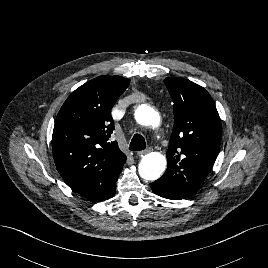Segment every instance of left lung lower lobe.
Masks as SVG:
<instances>
[{"label": "left lung lower lobe", "mask_w": 268, "mask_h": 268, "mask_svg": "<svg viewBox=\"0 0 268 268\" xmlns=\"http://www.w3.org/2000/svg\"><path fill=\"white\" fill-rule=\"evenodd\" d=\"M150 186H151L152 191L155 194H157L163 198L172 199V200H179V199L185 198V196L177 194L175 192H172L171 190H168V189H166L162 186H159L155 183H151Z\"/></svg>", "instance_id": "left-lung-lower-lobe-1"}]
</instances>
